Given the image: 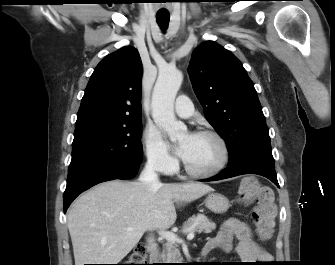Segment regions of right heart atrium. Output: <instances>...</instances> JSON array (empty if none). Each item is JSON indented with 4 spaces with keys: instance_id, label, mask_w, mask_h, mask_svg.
Listing matches in <instances>:
<instances>
[{
    "instance_id": "d8ad5b80",
    "label": "right heart atrium",
    "mask_w": 335,
    "mask_h": 265,
    "mask_svg": "<svg viewBox=\"0 0 335 265\" xmlns=\"http://www.w3.org/2000/svg\"><path fill=\"white\" fill-rule=\"evenodd\" d=\"M143 148L147 163L156 171L171 173L176 160L170 154L167 144L161 133L154 126H147L143 133Z\"/></svg>"
}]
</instances>
